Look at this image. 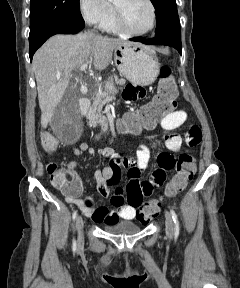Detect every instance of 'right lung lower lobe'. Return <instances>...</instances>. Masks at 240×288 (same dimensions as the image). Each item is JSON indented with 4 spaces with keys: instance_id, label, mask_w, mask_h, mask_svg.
<instances>
[{
    "instance_id": "98d812e1",
    "label": "right lung lower lobe",
    "mask_w": 240,
    "mask_h": 288,
    "mask_svg": "<svg viewBox=\"0 0 240 288\" xmlns=\"http://www.w3.org/2000/svg\"><path fill=\"white\" fill-rule=\"evenodd\" d=\"M85 23H72L67 21H57L45 25L36 35L29 39L30 49L29 56L32 60L35 51L52 35L54 34H75L82 30Z\"/></svg>"
}]
</instances>
